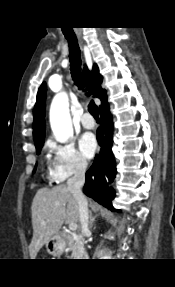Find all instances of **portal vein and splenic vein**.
I'll return each mask as SVG.
<instances>
[{
	"label": "portal vein and splenic vein",
	"mask_w": 175,
	"mask_h": 287,
	"mask_svg": "<svg viewBox=\"0 0 175 287\" xmlns=\"http://www.w3.org/2000/svg\"><path fill=\"white\" fill-rule=\"evenodd\" d=\"M69 229L71 231H76L77 230V224L76 223H70L69 224Z\"/></svg>",
	"instance_id": "1"
}]
</instances>
